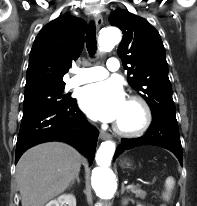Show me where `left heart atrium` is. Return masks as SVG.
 <instances>
[{
    "mask_svg": "<svg viewBox=\"0 0 197 206\" xmlns=\"http://www.w3.org/2000/svg\"><path fill=\"white\" fill-rule=\"evenodd\" d=\"M79 103L92 119L113 122L121 118L127 101L120 83L110 80L84 87Z\"/></svg>",
    "mask_w": 197,
    "mask_h": 206,
    "instance_id": "left-heart-atrium-1",
    "label": "left heart atrium"
}]
</instances>
